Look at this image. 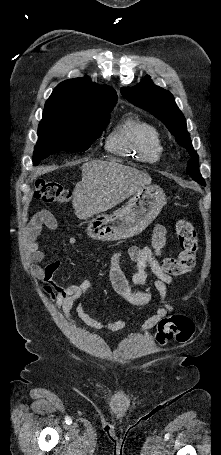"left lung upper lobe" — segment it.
I'll return each instance as SVG.
<instances>
[{
  "label": "left lung upper lobe",
  "instance_id": "5c2ea615",
  "mask_svg": "<svg viewBox=\"0 0 221 455\" xmlns=\"http://www.w3.org/2000/svg\"><path fill=\"white\" fill-rule=\"evenodd\" d=\"M122 95L134 105L143 108L161 120L191 155L187 164V173L199 184L205 185L199 172L198 155L192 147L187 131L186 120L177 107L173 95L156 86L147 76L134 87L121 88Z\"/></svg>",
  "mask_w": 221,
  "mask_h": 455
}]
</instances>
